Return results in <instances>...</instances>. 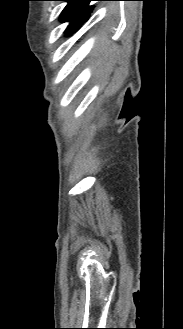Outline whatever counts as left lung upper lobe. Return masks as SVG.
<instances>
[{
	"label": "left lung upper lobe",
	"mask_w": 183,
	"mask_h": 329,
	"mask_svg": "<svg viewBox=\"0 0 183 329\" xmlns=\"http://www.w3.org/2000/svg\"><path fill=\"white\" fill-rule=\"evenodd\" d=\"M68 2L67 6L61 13L60 21L70 22L66 29V33L72 34L87 21L94 6H89L91 1L102 0H59Z\"/></svg>",
	"instance_id": "1"
}]
</instances>
